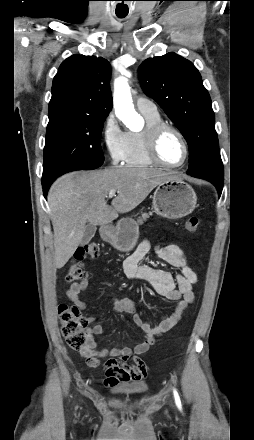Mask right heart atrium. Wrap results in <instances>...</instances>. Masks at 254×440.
<instances>
[{"instance_id":"obj_1","label":"right heart atrium","mask_w":254,"mask_h":440,"mask_svg":"<svg viewBox=\"0 0 254 440\" xmlns=\"http://www.w3.org/2000/svg\"><path fill=\"white\" fill-rule=\"evenodd\" d=\"M103 141L112 163H122L128 145V132L121 127L112 113L106 117L103 124Z\"/></svg>"}]
</instances>
